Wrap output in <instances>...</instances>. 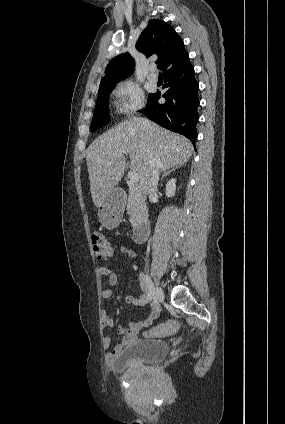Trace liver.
Listing matches in <instances>:
<instances>
[{"label":"liver","mask_w":285,"mask_h":424,"mask_svg":"<svg viewBox=\"0 0 285 424\" xmlns=\"http://www.w3.org/2000/svg\"><path fill=\"white\" fill-rule=\"evenodd\" d=\"M122 152L129 154V168L139 175V188L148 192L149 154L152 152L157 157L159 170L165 171L184 165L192 155L193 146L184 136L143 118L124 121L103 133L86 150L90 191L96 207L108 197L124 174L126 161Z\"/></svg>","instance_id":"obj_1"}]
</instances>
